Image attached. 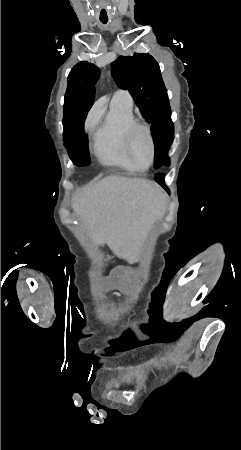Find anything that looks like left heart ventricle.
Instances as JSON below:
<instances>
[{"label": "left heart ventricle", "instance_id": "1", "mask_svg": "<svg viewBox=\"0 0 241 450\" xmlns=\"http://www.w3.org/2000/svg\"><path fill=\"white\" fill-rule=\"evenodd\" d=\"M149 130V127L147 126V127H145L143 130ZM143 130H139V132H143ZM144 139H145V137H143ZM134 149L136 150V154L138 155V156H142L145 152H146V150H147V147H146V145L145 144H142L140 141H136L135 143H134ZM141 162L143 163V164H146L147 162H148V159L146 158V157H143L142 159H141Z\"/></svg>", "mask_w": 241, "mask_h": 450}]
</instances>
